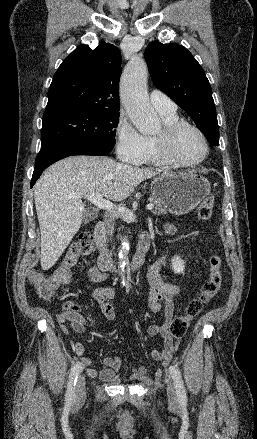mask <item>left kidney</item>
<instances>
[{"label": "left kidney", "mask_w": 257, "mask_h": 439, "mask_svg": "<svg viewBox=\"0 0 257 439\" xmlns=\"http://www.w3.org/2000/svg\"><path fill=\"white\" fill-rule=\"evenodd\" d=\"M172 269L176 274H180L184 272L185 262L179 256H174L171 259Z\"/></svg>", "instance_id": "obj_1"}]
</instances>
